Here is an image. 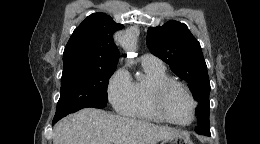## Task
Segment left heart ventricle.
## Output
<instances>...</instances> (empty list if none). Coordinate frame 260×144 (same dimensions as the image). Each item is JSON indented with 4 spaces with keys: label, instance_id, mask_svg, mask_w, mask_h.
I'll return each instance as SVG.
<instances>
[{
    "label": "left heart ventricle",
    "instance_id": "obj_1",
    "mask_svg": "<svg viewBox=\"0 0 260 144\" xmlns=\"http://www.w3.org/2000/svg\"><path fill=\"white\" fill-rule=\"evenodd\" d=\"M167 114L178 122H187L192 115V104L181 89L170 91L164 102Z\"/></svg>",
    "mask_w": 260,
    "mask_h": 144
}]
</instances>
